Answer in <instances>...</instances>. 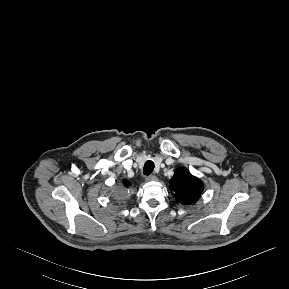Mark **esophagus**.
I'll return each mask as SVG.
<instances>
[{
    "mask_svg": "<svg viewBox=\"0 0 289 289\" xmlns=\"http://www.w3.org/2000/svg\"><path fill=\"white\" fill-rule=\"evenodd\" d=\"M157 177L155 175H150L146 177V181H156Z\"/></svg>",
    "mask_w": 289,
    "mask_h": 289,
    "instance_id": "esophagus-1",
    "label": "esophagus"
}]
</instances>
